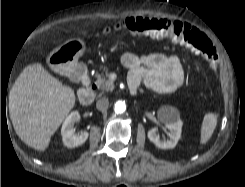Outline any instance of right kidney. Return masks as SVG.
Masks as SVG:
<instances>
[{"instance_id": "right-kidney-1", "label": "right kidney", "mask_w": 245, "mask_h": 187, "mask_svg": "<svg viewBox=\"0 0 245 187\" xmlns=\"http://www.w3.org/2000/svg\"><path fill=\"white\" fill-rule=\"evenodd\" d=\"M80 120V114L78 111L71 112L61 128L62 141L68 148H74L83 144L89 136L87 131H81L78 135L75 134L74 124Z\"/></svg>"}]
</instances>
